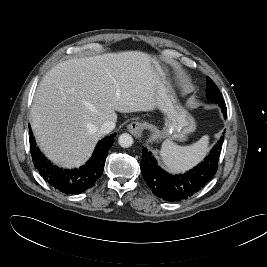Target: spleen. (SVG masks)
<instances>
[{
  "label": "spleen",
  "instance_id": "obj_1",
  "mask_svg": "<svg viewBox=\"0 0 267 267\" xmlns=\"http://www.w3.org/2000/svg\"><path fill=\"white\" fill-rule=\"evenodd\" d=\"M209 136L205 135L189 146H179L167 140L162 144L160 155L165 167L173 172H184L200 162L208 150Z\"/></svg>",
  "mask_w": 267,
  "mask_h": 267
}]
</instances>
